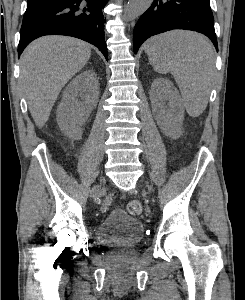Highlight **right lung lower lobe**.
<instances>
[{
    "mask_svg": "<svg viewBox=\"0 0 245 300\" xmlns=\"http://www.w3.org/2000/svg\"><path fill=\"white\" fill-rule=\"evenodd\" d=\"M107 0H45L28 6L24 14L18 54L34 39L44 35H67L87 41L108 60L104 42V17Z\"/></svg>",
    "mask_w": 245,
    "mask_h": 300,
    "instance_id": "1",
    "label": "right lung lower lobe"
}]
</instances>
